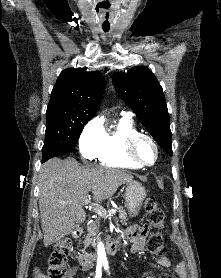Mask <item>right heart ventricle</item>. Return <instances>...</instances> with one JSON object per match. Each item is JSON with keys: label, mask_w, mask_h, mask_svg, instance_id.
I'll return each instance as SVG.
<instances>
[{"label": "right heart ventricle", "mask_w": 221, "mask_h": 278, "mask_svg": "<svg viewBox=\"0 0 221 278\" xmlns=\"http://www.w3.org/2000/svg\"><path fill=\"white\" fill-rule=\"evenodd\" d=\"M137 132L130 118L121 117L115 127L105 131L101 148L96 156L98 162L110 167L139 168L124 155L126 139Z\"/></svg>", "instance_id": "obj_1"}]
</instances>
